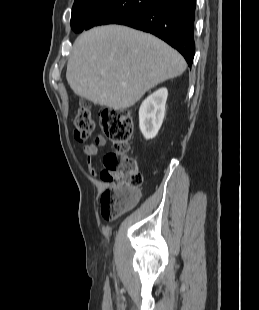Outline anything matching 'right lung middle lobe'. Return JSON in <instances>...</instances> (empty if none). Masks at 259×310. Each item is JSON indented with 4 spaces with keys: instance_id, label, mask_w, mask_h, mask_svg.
<instances>
[{
    "instance_id": "obj_1",
    "label": "right lung middle lobe",
    "mask_w": 259,
    "mask_h": 310,
    "mask_svg": "<svg viewBox=\"0 0 259 310\" xmlns=\"http://www.w3.org/2000/svg\"><path fill=\"white\" fill-rule=\"evenodd\" d=\"M155 0H102L72 10L71 28L82 32L97 25L113 24L149 5Z\"/></svg>"
}]
</instances>
